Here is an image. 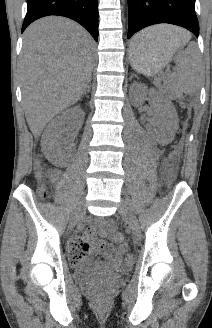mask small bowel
I'll return each instance as SVG.
<instances>
[{
    "instance_id": "obj_1",
    "label": "small bowel",
    "mask_w": 212,
    "mask_h": 328,
    "mask_svg": "<svg viewBox=\"0 0 212 328\" xmlns=\"http://www.w3.org/2000/svg\"><path fill=\"white\" fill-rule=\"evenodd\" d=\"M99 227L103 233H107L111 226L110 224L101 221ZM97 228L94 225L88 226L82 237L74 238L69 245L70 258H74L75 262L81 261L89 253L101 251L107 262H99L97 267L101 270H120L122 268V258L120 253H115L111 247L100 243L96 239Z\"/></svg>"
}]
</instances>
